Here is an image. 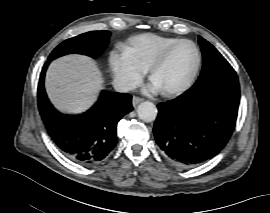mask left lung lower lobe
<instances>
[{
    "label": "left lung lower lobe",
    "mask_w": 270,
    "mask_h": 213,
    "mask_svg": "<svg viewBox=\"0 0 270 213\" xmlns=\"http://www.w3.org/2000/svg\"><path fill=\"white\" fill-rule=\"evenodd\" d=\"M240 101L235 71L158 104L157 144L175 166L194 167L217 155L234 130Z\"/></svg>",
    "instance_id": "1"
}]
</instances>
